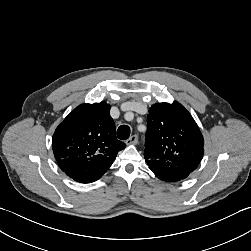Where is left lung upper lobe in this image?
<instances>
[{
  "label": "left lung upper lobe",
  "mask_w": 251,
  "mask_h": 251,
  "mask_svg": "<svg viewBox=\"0 0 251 251\" xmlns=\"http://www.w3.org/2000/svg\"><path fill=\"white\" fill-rule=\"evenodd\" d=\"M204 139L190 113L178 102L149 109L144 154L163 164L198 166Z\"/></svg>",
  "instance_id": "1"
}]
</instances>
